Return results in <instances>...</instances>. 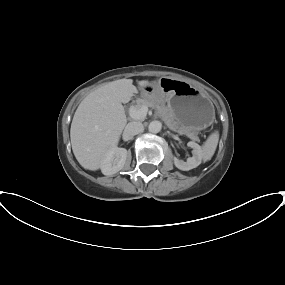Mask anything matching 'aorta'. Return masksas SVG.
I'll return each mask as SVG.
<instances>
[{
	"mask_svg": "<svg viewBox=\"0 0 285 285\" xmlns=\"http://www.w3.org/2000/svg\"><path fill=\"white\" fill-rule=\"evenodd\" d=\"M162 128V123L160 121H152L149 126L148 130L151 133H159Z\"/></svg>",
	"mask_w": 285,
	"mask_h": 285,
	"instance_id": "762f6f07",
	"label": "aorta"
}]
</instances>
